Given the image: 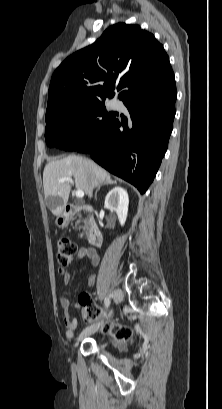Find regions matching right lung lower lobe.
Instances as JSON below:
<instances>
[{"label": "right lung lower lobe", "mask_w": 222, "mask_h": 409, "mask_svg": "<svg viewBox=\"0 0 222 409\" xmlns=\"http://www.w3.org/2000/svg\"><path fill=\"white\" fill-rule=\"evenodd\" d=\"M161 90L122 100L129 111L115 116L102 142L76 151L90 153L95 162L145 193L167 150L175 117L177 91L174 74L161 75Z\"/></svg>", "instance_id": "obj_1"}]
</instances>
